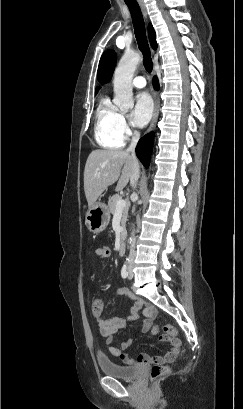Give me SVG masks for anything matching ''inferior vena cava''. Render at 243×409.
Wrapping results in <instances>:
<instances>
[{
  "instance_id": "obj_1",
  "label": "inferior vena cava",
  "mask_w": 243,
  "mask_h": 409,
  "mask_svg": "<svg viewBox=\"0 0 243 409\" xmlns=\"http://www.w3.org/2000/svg\"><path fill=\"white\" fill-rule=\"evenodd\" d=\"M139 138H140V133H139L138 131H134V134H133L131 143H130L128 149H127V152H131V156H132V158H133V160H134L135 162H137V158H136V155H135V147H136V145H137V143H138V141H139ZM138 178H139V169H136V170L133 172V174H132V176H131V179H130L131 185H132L133 188L136 187V183H137V181H138ZM133 196H137V194H136V193H133ZM134 257H135V238H134L133 241H132L131 253H130L129 261H130V262H133Z\"/></svg>"
}]
</instances>
